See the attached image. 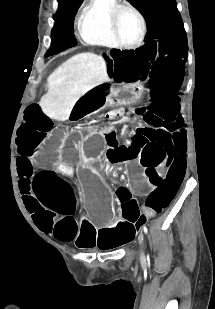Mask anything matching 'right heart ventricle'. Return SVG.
I'll list each match as a JSON object with an SVG mask.
<instances>
[{"label":"right heart ventricle","mask_w":215,"mask_h":309,"mask_svg":"<svg viewBox=\"0 0 215 309\" xmlns=\"http://www.w3.org/2000/svg\"><path fill=\"white\" fill-rule=\"evenodd\" d=\"M80 24L86 43L108 48L115 47L112 43L115 37L108 9H95L94 14H87V19H81Z\"/></svg>","instance_id":"obj_1"}]
</instances>
